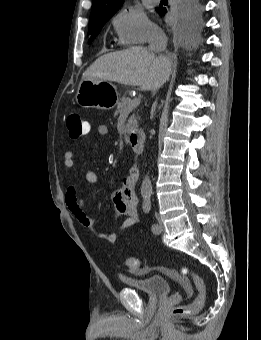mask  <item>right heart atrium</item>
I'll return each instance as SVG.
<instances>
[{"label": "right heart atrium", "mask_w": 261, "mask_h": 340, "mask_svg": "<svg viewBox=\"0 0 261 340\" xmlns=\"http://www.w3.org/2000/svg\"><path fill=\"white\" fill-rule=\"evenodd\" d=\"M114 29L124 45L143 44L148 38L159 35V28L145 13L134 7L118 10L112 18Z\"/></svg>", "instance_id": "right-heart-atrium-1"}]
</instances>
